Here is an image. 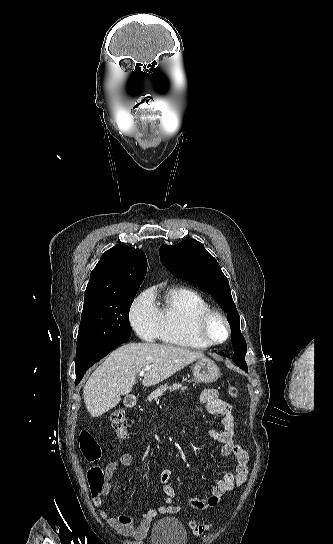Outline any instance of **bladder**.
Here are the masks:
<instances>
[{
  "label": "bladder",
  "instance_id": "bladder-1",
  "mask_svg": "<svg viewBox=\"0 0 333 544\" xmlns=\"http://www.w3.org/2000/svg\"><path fill=\"white\" fill-rule=\"evenodd\" d=\"M187 531L177 518L159 519L151 531V544H186Z\"/></svg>",
  "mask_w": 333,
  "mask_h": 544
}]
</instances>
